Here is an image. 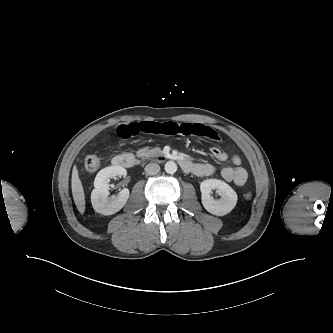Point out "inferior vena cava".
<instances>
[{"mask_svg":"<svg viewBox=\"0 0 333 333\" xmlns=\"http://www.w3.org/2000/svg\"><path fill=\"white\" fill-rule=\"evenodd\" d=\"M160 171V166L157 163H149L145 166V172L148 175H155Z\"/></svg>","mask_w":333,"mask_h":333,"instance_id":"inferior-vena-cava-1","label":"inferior vena cava"}]
</instances>
